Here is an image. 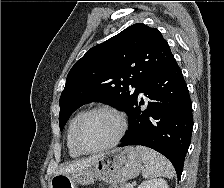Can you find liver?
Returning a JSON list of instances; mask_svg holds the SVG:
<instances>
[{
	"mask_svg": "<svg viewBox=\"0 0 224 188\" xmlns=\"http://www.w3.org/2000/svg\"><path fill=\"white\" fill-rule=\"evenodd\" d=\"M102 156H103V154L93 155L88 158L73 161L70 164L60 167L59 171L56 172V175L57 174H68V173H73L76 171L87 169V168L91 167Z\"/></svg>",
	"mask_w": 224,
	"mask_h": 188,
	"instance_id": "1",
	"label": "liver"
}]
</instances>
